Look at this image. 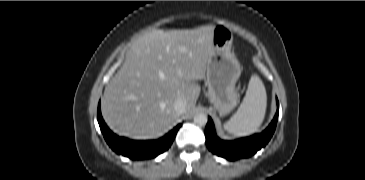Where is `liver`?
I'll return each instance as SVG.
<instances>
[{
	"label": "liver",
	"instance_id": "1",
	"mask_svg": "<svg viewBox=\"0 0 365 180\" xmlns=\"http://www.w3.org/2000/svg\"><path fill=\"white\" fill-rule=\"evenodd\" d=\"M214 26L190 30H155L140 37L109 81L102 115L120 135L135 139L159 137L177 122L178 98L191 112L213 49ZM185 112V113H186Z\"/></svg>",
	"mask_w": 365,
	"mask_h": 180
}]
</instances>
